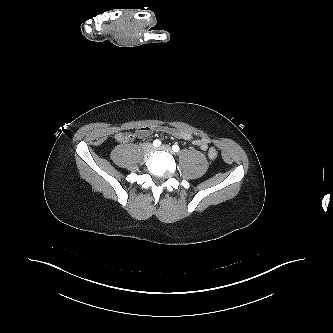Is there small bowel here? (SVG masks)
Wrapping results in <instances>:
<instances>
[{
	"label": "small bowel",
	"mask_w": 333,
	"mask_h": 333,
	"mask_svg": "<svg viewBox=\"0 0 333 333\" xmlns=\"http://www.w3.org/2000/svg\"><path fill=\"white\" fill-rule=\"evenodd\" d=\"M154 131L169 134L185 140H191L194 145L199 146L203 151L207 150L208 148L209 139L207 137L194 138L190 132L182 128H173L168 126L140 127L136 130V136L138 138H145L152 134Z\"/></svg>",
	"instance_id": "small-bowel-1"
}]
</instances>
